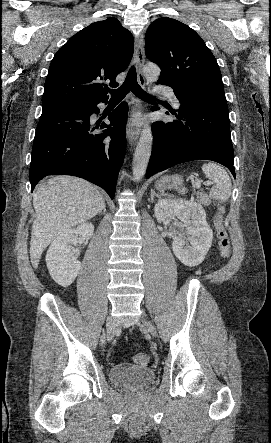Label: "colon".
Returning <instances> with one entry per match:
<instances>
[{
	"label": "colon",
	"mask_w": 271,
	"mask_h": 443,
	"mask_svg": "<svg viewBox=\"0 0 271 443\" xmlns=\"http://www.w3.org/2000/svg\"><path fill=\"white\" fill-rule=\"evenodd\" d=\"M216 237L219 250L223 257H228L231 251V243L224 224V207L220 205L214 221ZM135 363L146 365L149 362V356L145 353H138L133 357Z\"/></svg>",
	"instance_id": "obj_1"
}]
</instances>
